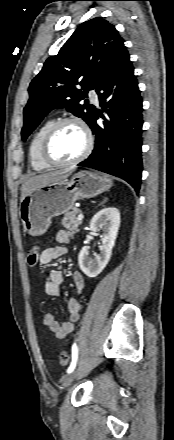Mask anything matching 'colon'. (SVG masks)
I'll return each instance as SVG.
<instances>
[{
	"mask_svg": "<svg viewBox=\"0 0 174 440\" xmlns=\"http://www.w3.org/2000/svg\"><path fill=\"white\" fill-rule=\"evenodd\" d=\"M40 258V247L38 244L32 245L27 252V263L30 266H35ZM70 355L67 351H61L59 354V362L65 366L68 364Z\"/></svg>",
	"mask_w": 174,
	"mask_h": 440,
	"instance_id": "obj_1",
	"label": "colon"
}]
</instances>
